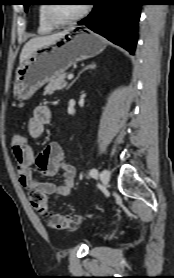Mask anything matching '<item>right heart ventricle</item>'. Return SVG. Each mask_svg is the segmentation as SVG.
Masks as SVG:
<instances>
[{
  "label": "right heart ventricle",
  "mask_w": 174,
  "mask_h": 278,
  "mask_svg": "<svg viewBox=\"0 0 174 278\" xmlns=\"http://www.w3.org/2000/svg\"><path fill=\"white\" fill-rule=\"evenodd\" d=\"M55 29L45 17V5L42 4L38 8V31L43 34L52 32Z\"/></svg>",
  "instance_id": "1"
}]
</instances>
